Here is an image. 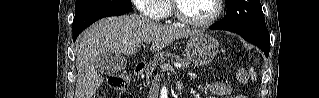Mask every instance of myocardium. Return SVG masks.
<instances>
[{
  "label": "myocardium",
  "instance_id": "1",
  "mask_svg": "<svg viewBox=\"0 0 319 98\" xmlns=\"http://www.w3.org/2000/svg\"><path fill=\"white\" fill-rule=\"evenodd\" d=\"M214 2H215V6H216L215 12L213 13V15L211 17H209L206 20L198 21V20H192V19L185 17L180 11L179 2L177 0L172 1L173 14H174L175 18L180 23H182L188 27L205 28V27H208V26H211L212 24H214L222 14L223 1L222 0H214Z\"/></svg>",
  "mask_w": 319,
  "mask_h": 98
}]
</instances>
